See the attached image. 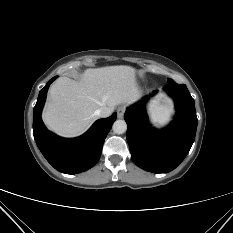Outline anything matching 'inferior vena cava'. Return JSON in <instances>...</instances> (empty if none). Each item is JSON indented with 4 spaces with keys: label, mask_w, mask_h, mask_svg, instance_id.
<instances>
[{
    "label": "inferior vena cava",
    "mask_w": 233,
    "mask_h": 233,
    "mask_svg": "<svg viewBox=\"0 0 233 233\" xmlns=\"http://www.w3.org/2000/svg\"><path fill=\"white\" fill-rule=\"evenodd\" d=\"M111 113H112V110L110 108H108V107H102V108L97 109L95 111V115L97 117H101V118L108 117V116L111 115Z\"/></svg>",
    "instance_id": "obj_1"
}]
</instances>
